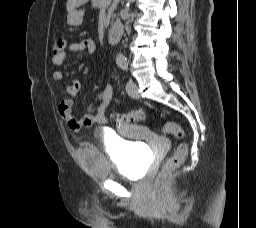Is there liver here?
<instances>
[{
	"label": "liver",
	"mask_w": 256,
	"mask_h": 228,
	"mask_svg": "<svg viewBox=\"0 0 256 228\" xmlns=\"http://www.w3.org/2000/svg\"><path fill=\"white\" fill-rule=\"evenodd\" d=\"M89 0H67V11H71L72 9H75L83 4H85L86 2H88Z\"/></svg>",
	"instance_id": "obj_1"
}]
</instances>
